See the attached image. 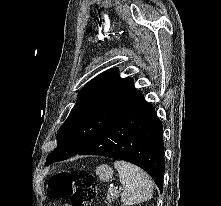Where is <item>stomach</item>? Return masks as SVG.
<instances>
[{"instance_id":"obj_1","label":"stomach","mask_w":221,"mask_h":206,"mask_svg":"<svg viewBox=\"0 0 221 206\" xmlns=\"http://www.w3.org/2000/svg\"><path fill=\"white\" fill-rule=\"evenodd\" d=\"M96 175L102 181H109L112 178L113 171L108 165H101L97 167Z\"/></svg>"}]
</instances>
